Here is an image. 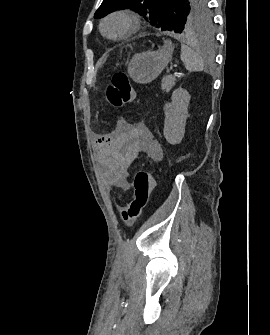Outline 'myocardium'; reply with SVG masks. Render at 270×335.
<instances>
[{
  "mask_svg": "<svg viewBox=\"0 0 270 335\" xmlns=\"http://www.w3.org/2000/svg\"><path fill=\"white\" fill-rule=\"evenodd\" d=\"M114 19H120L127 24L126 31L117 36H111L107 34L106 32V25ZM140 26H141V20L138 18V16H136L133 13H130L129 11L119 10V11H114L111 14H109L102 21L100 28H101L102 34L108 39L119 40V39H124L132 35L135 31H137L140 28ZM134 78H145V77H134Z\"/></svg>",
  "mask_w": 270,
  "mask_h": 335,
  "instance_id": "1",
  "label": "myocardium"
}]
</instances>
